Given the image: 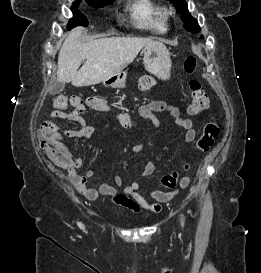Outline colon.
<instances>
[{
	"mask_svg": "<svg viewBox=\"0 0 261 273\" xmlns=\"http://www.w3.org/2000/svg\"><path fill=\"white\" fill-rule=\"evenodd\" d=\"M196 65V58L188 57L184 62V69L187 73H193ZM189 89L191 93L189 112L191 114H198L209 108L210 102L208 95L199 80L191 79L189 81ZM54 106L61 109H70L69 113L72 116L80 117L84 110V101L79 96H71L68 98L65 95H57L54 98ZM219 133L220 127L218 122L213 118L208 120L204 124L202 134L198 138L195 148L201 152L208 151L218 138ZM38 140L50 159L64 166H68L72 163L71 156L59 141L56 132L50 131L42 125L38 131ZM184 169L187 171L189 166L185 165ZM179 180L180 174L178 172H171L161 178L160 184L165 189L174 190L177 187Z\"/></svg>",
	"mask_w": 261,
	"mask_h": 273,
	"instance_id": "1",
	"label": "colon"
}]
</instances>
